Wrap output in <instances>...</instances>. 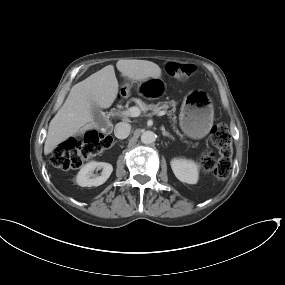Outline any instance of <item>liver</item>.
Listing matches in <instances>:
<instances>
[{
	"mask_svg": "<svg viewBox=\"0 0 285 285\" xmlns=\"http://www.w3.org/2000/svg\"><path fill=\"white\" fill-rule=\"evenodd\" d=\"M116 67L123 77L132 81L158 79L161 76L160 67L147 60L120 59ZM118 87L113 65L105 66L74 85L49 124L44 154L48 155L70 137L98 129L92 114V105L109 108L118 95Z\"/></svg>",
	"mask_w": 285,
	"mask_h": 285,
	"instance_id": "obj_1",
	"label": "liver"
}]
</instances>
